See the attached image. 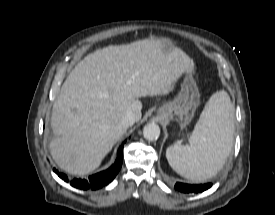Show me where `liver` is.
I'll return each instance as SVG.
<instances>
[{
	"instance_id": "6515ba94",
	"label": "liver",
	"mask_w": 275,
	"mask_h": 215,
	"mask_svg": "<svg viewBox=\"0 0 275 215\" xmlns=\"http://www.w3.org/2000/svg\"><path fill=\"white\" fill-rule=\"evenodd\" d=\"M194 70L182 50L165 51L159 39L108 46L87 55L67 77L53 105L49 148L64 171L95 170L126 133L127 111L141 119V97L169 94L184 73Z\"/></svg>"
}]
</instances>
